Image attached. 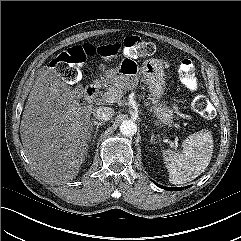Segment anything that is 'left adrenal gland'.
<instances>
[{"instance_id": "left-adrenal-gland-1", "label": "left adrenal gland", "mask_w": 241, "mask_h": 241, "mask_svg": "<svg viewBox=\"0 0 241 241\" xmlns=\"http://www.w3.org/2000/svg\"><path fill=\"white\" fill-rule=\"evenodd\" d=\"M150 143L151 144H155L156 142H155V135H154V133L152 132V135H151V139H150Z\"/></svg>"}]
</instances>
